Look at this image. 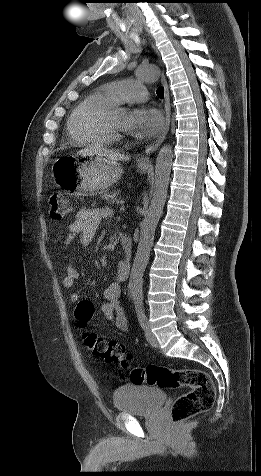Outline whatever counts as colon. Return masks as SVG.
Instances as JSON below:
<instances>
[{"label":"colon","mask_w":261,"mask_h":476,"mask_svg":"<svg viewBox=\"0 0 261 476\" xmlns=\"http://www.w3.org/2000/svg\"><path fill=\"white\" fill-rule=\"evenodd\" d=\"M49 215L60 220L72 212V206L65 196L55 191L48 198ZM94 315V306L89 301H80L75 310V319L79 328L85 330ZM84 345L95 355L108 364H115L126 370L132 355L126 348L114 341H106L96 334L83 331ZM130 379L135 384H148L160 388L187 387L189 392L175 399L170 408V419L180 424L191 417L209 410L215 400V387L210 376L203 370L182 368L172 369L165 366L148 365L131 371Z\"/></svg>","instance_id":"5ec220e1"}]
</instances>
